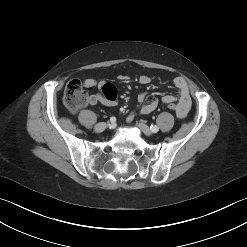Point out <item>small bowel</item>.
Instances as JSON below:
<instances>
[{
  "mask_svg": "<svg viewBox=\"0 0 247 247\" xmlns=\"http://www.w3.org/2000/svg\"><path fill=\"white\" fill-rule=\"evenodd\" d=\"M120 80L124 81L127 79V76H120ZM150 77L146 75H142L139 78V82L141 84L150 83ZM174 85L178 90V97L173 95H165L162 97V102L167 104L170 102L176 103L178 109L176 115L179 118H185L191 108V97L189 86L186 80L183 77H176L174 79ZM83 84L88 89L97 88L100 90L98 94H90L86 98V102L90 106H94L97 103H101L105 106L113 107L117 104V89L116 87L104 80H94V79H85ZM138 112L143 115H147L153 112L157 107V101L151 100L146 101V93L142 92L138 95ZM134 117V113H131L128 117V121H132Z\"/></svg>",
  "mask_w": 247,
  "mask_h": 247,
  "instance_id": "small-bowel-1",
  "label": "small bowel"
}]
</instances>
